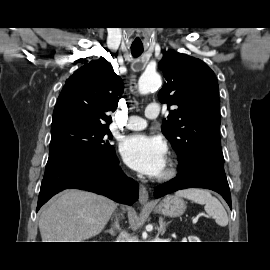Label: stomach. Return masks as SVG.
Returning a JSON list of instances; mask_svg holds the SVG:
<instances>
[{"label":"stomach","mask_w":270,"mask_h":270,"mask_svg":"<svg viewBox=\"0 0 270 270\" xmlns=\"http://www.w3.org/2000/svg\"><path fill=\"white\" fill-rule=\"evenodd\" d=\"M157 213L165 216L178 217L181 216L185 210L186 205L182 198L178 196L165 197L155 208Z\"/></svg>","instance_id":"1"}]
</instances>
